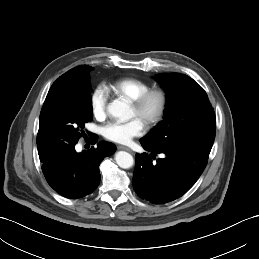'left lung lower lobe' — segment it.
Instances as JSON below:
<instances>
[{
    "instance_id": "left-lung-lower-lobe-1",
    "label": "left lung lower lobe",
    "mask_w": 259,
    "mask_h": 259,
    "mask_svg": "<svg viewBox=\"0 0 259 259\" xmlns=\"http://www.w3.org/2000/svg\"><path fill=\"white\" fill-rule=\"evenodd\" d=\"M140 142L150 154H136L132 183L137 195L153 204L171 202L184 195L203 173L211 151L172 152ZM160 153L164 158L155 160Z\"/></svg>"
}]
</instances>
